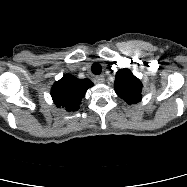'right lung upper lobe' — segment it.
Returning a JSON list of instances; mask_svg holds the SVG:
<instances>
[{
    "mask_svg": "<svg viewBox=\"0 0 187 187\" xmlns=\"http://www.w3.org/2000/svg\"><path fill=\"white\" fill-rule=\"evenodd\" d=\"M92 86L93 83L89 79H78L66 74L53 85L51 95L58 107L61 106L67 111H76L85 92Z\"/></svg>",
    "mask_w": 187,
    "mask_h": 187,
    "instance_id": "cb5924a9",
    "label": "right lung upper lobe"
}]
</instances>
